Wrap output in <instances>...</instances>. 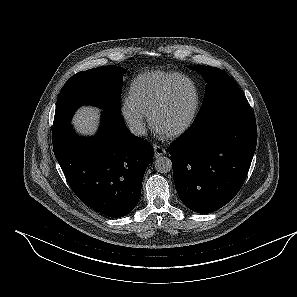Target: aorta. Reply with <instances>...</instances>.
<instances>
[{
	"instance_id": "762f6f07",
	"label": "aorta",
	"mask_w": 297,
	"mask_h": 297,
	"mask_svg": "<svg viewBox=\"0 0 297 297\" xmlns=\"http://www.w3.org/2000/svg\"><path fill=\"white\" fill-rule=\"evenodd\" d=\"M155 169L160 173H168L172 170V162L168 157H158L154 162Z\"/></svg>"
}]
</instances>
